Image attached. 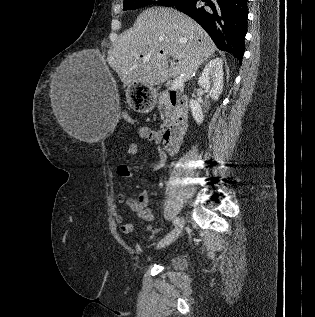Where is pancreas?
I'll return each instance as SVG.
<instances>
[{
	"label": "pancreas",
	"instance_id": "cf45deb5",
	"mask_svg": "<svg viewBox=\"0 0 315 317\" xmlns=\"http://www.w3.org/2000/svg\"><path fill=\"white\" fill-rule=\"evenodd\" d=\"M169 93L168 91H164L159 94V108H162L163 106H169ZM171 117V110L167 108L164 113H161V118L164 121V126L168 124Z\"/></svg>",
	"mask_w": 315,
	"mask_h": 317
}]
</instances>
